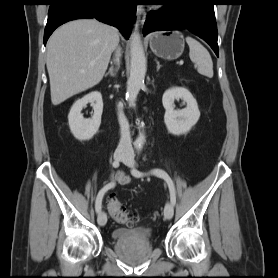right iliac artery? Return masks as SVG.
Masks as SVG:
<instances>
[{
    "mask_svg": "<svg viewBox=\"0 0 278 278\" xmlns=\"http://www.w3.org/2000/svg\"><path fill=\"white\" fill-rule=\"evenodd\" d=\"M113 167L114 168H118L119 167V161H114L113 162ZM114 186V184H107L106 186H104L98 193L97 197H96V202H95V210L97 213H100L101 211V206H102V199L104 194Z\"/></svg>",
    "mask_w": 278,
    "mask_h": 278,
    "instance_id": "82829eb1",
    "label": "right iliac artery"
}]
</instances>
